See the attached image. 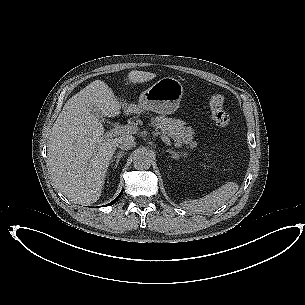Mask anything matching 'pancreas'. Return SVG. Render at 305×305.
Listing matches in <instances>:
<instances>
[{"label":"pancreas","instance_id":"1","mask_svg":"<svg viewBox=\"0 0 305 305\" xmlns=\"http://www.w3.org/2000/svg\"><path fill=\"white\" fill-rule=\"evenodd\" d=\"M155 126L171 137L179 147L183 144L189 145L191 148L197 146V143L193 141V129L191 127H185L179 121L171 118H159L155 120Z\"/></svg>","mask_w":305,"mask_h":305}]
</instances>
